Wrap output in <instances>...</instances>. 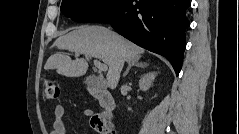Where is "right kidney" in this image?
I'll return each mask as SVG.
<instances>
[{
	"label": "right kidney",
	"mask_w": 239,
	"mask_h": 134,
	"mask_svg": "<svg viewBox=\"0 0 239 134\" xmlns=\"http://www.w3.org/2000/svg\"><path fill=\"white\" fill-rule=\"evenodd\" d=\"M156 77L155 72H149L144 74L139 80V88L142 91H147L151 86Z\"/></svg>",
	"instance_id": "right-kidney-1"
}]
</instances>
